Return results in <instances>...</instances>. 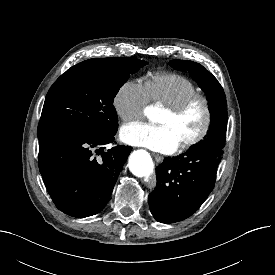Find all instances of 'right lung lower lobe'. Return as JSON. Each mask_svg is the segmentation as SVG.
I'll use <instances>...</instances> for the list:
<instances>
[{
	"label": "right lung lower lobe",
	"instance_id": "98d812e1",
	"mask_svg": "<svg viewBox=\"0 0 275 275\" xmlns=\"http://www.w3.org/2000/svg\"><path fill=\"white\" fill-rule=\"evenodd\" d=\"M112 133L69 135L40 141L38 164L56 207L73 217L100 212L107 204L130 146L113 143Z\"/></svg>",
	"mask_w": 275,
	"mask_h": 275
}]
</instances>
